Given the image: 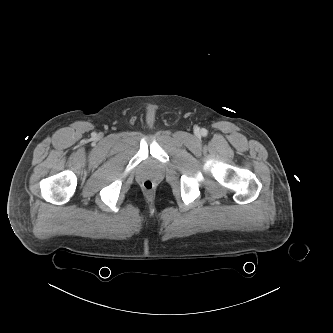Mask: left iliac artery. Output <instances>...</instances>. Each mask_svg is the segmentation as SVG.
<instances>
[{"label":"left iliac artery","instance_id":"obj_1","mask_svg":"<svg viewBox=\"0 0 333 333\" xmlns=\"http://www.w3.org/2000/svg\"><path fill=\"white\" fill-rule=\"evenodd\" d=\"M202 133L205 135L207 133V131L205 129H203Z\"/></svg>","mask_w":333,"mask_h":333}]
</instances>
